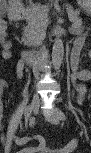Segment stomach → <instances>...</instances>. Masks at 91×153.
Listing matches in <instances>:
<instances>
[{"label": "stomach", "mask_w": 91, "mask_h": 153, "mask_svg": "<svg viewBox=\"0 0 91 153\" xmlns=\"http://www.w3.org/2000/svg\"><path fill=\"white\" fill-rule=\"evenodd\" d=\"M81 2H82V1H80V3H81ZM82 4L85 5V6H86V5L89 6L90 2H89V1H83ZM87 10L89 11V8H88Z\"/></svg>", "instance_id": "0dacf381"}]
</instances>
